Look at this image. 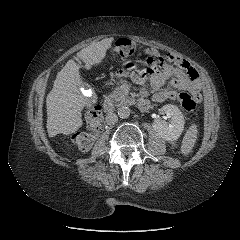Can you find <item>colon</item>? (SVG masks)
I'll return each instance as SVG.
<instances>
[{
    "label": "colon",
    "instance_id": "5ec220e1",
    "mask_svg": "<svg viewBox=\"0 0 240 240\" xmlns=\"http://www.w3.org/2000/svg\"><path fill=\"white\" fill-rule=\"evenodd\" d=\"M137 49L135 41L128 38L118 39L114 45V52L119 56H130ZM176 100L181 107L187 111L192 112L196 108V100L194 97L186 92L177 94ZM86 118L89 123L88 131H78L72 135V141L81 151H87L91 148L96 138L97 133L101 127L102 109L98 105H91L86 110Z\"/></svg>",
    "mask_w": 240,
    "mask_h": 240
}]
</instances>
